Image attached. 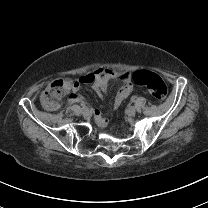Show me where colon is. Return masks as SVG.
Returning <instances> with one entry per match:
<instances>
[{
    "label": "colon",
    "instance_id": "5ec220e1",
    "mask_svg": "<svg viewBox=\"0 0 208 208\" xmlns=\"http://www.w3.org/2000/svg\"><path fill=\"white\" fill-rule=\"evenodd\" d=\"M109 74L103 77H109ZM133 81L135 84L147 88L150 95L156 100H163L167 96V86L163 79L154 72L137 71L133 74ZM83 85L77 84V89ZM75 88V81L71 77H64L61 80H54L47 85L45 94L43 96V103L50 110L55 111L59 107V100L63 99L65 95L73 92Z\"/></svg>",
    "mask_w": 208,
    "mask_h": 208
}]
</instances>
